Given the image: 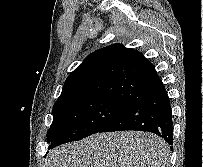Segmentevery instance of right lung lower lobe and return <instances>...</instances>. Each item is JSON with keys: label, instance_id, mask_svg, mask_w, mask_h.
Returning <instances> with one entry per match:
<instances>
[{"label": "right lung lower lobe", "instance_id": "obj_1", "mask_svg": "<svg viewBox=\"0 0 203 167\" xmlns=\"http://www.w3.org/2000/svg\"><path fill=\"white\" fill-rule=\"evenodd\" d=\"M137 130L152 132L173 144V120L165 88L138 98L100 132ZM62 143L51 142L49 149ZM172 149V147H171Z\"/></svg>", "mask_w": 203, "mask_h": 167}]
</instances>
